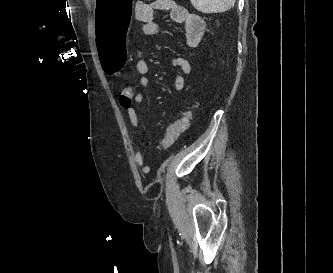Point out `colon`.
<instances>
[{
    "label": "colon",
    "mask_w": 333,
    "mask_h": 273,
    "mask_svg": "<svg viewBox=\"0 0 333 273\" xmlns=\"http://www.w3.org/2000/svg\"><path fill=\"white\" fill-rule=\"evenodd\" d=\"M133 89L128 84H122L120 86L119 103L123 108H128L133 102ZM191 118V111H187L180 118L170 123L166 129L163 138L159 142V148L166 150L170 148L179 136L184 132L188 126Z\"/></svg>",
    "instance_id": "obj_1"
}]
</instances>
